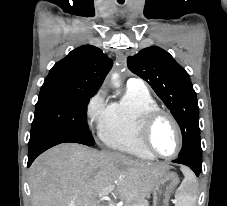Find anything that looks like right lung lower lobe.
Listing matches in <instances>:
<instances>
[{"label":"right lung lower lobe","instance_id":"obj_1","mask_svg":"<svg viewBox=\"0 0 227 206\" xmlns=\"http://www.w3.org/2000/svg\"><path fill=\"white\" fill-rule=\"evenodd\" d=\"M65 142L79 143L77 139L61 133H47L29 141L28 167L41 153L55 145Z\"/></svg>","mask_w":227,"mask_h":206}]
</instances>
